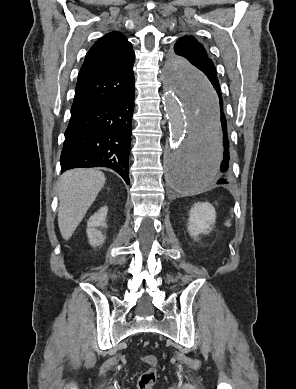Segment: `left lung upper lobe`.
Masks as SVG:
<instances>
[{
  "label": "left lung upper lobe",
  "instance_id": "5c2ea615",
  "mask_svg": "<svg viewBox=\"0 0 296 389\" xmlns=\"http://www.w3.org/2000/svg\"><path fill=\"white\" fill-rule=\"evenodd\" d=\"M172 72L179 83L194 78H209L216 72L205 47L192 36L179 38L172 54Z\"/></svg>",
  "mask_w": 296,
  "mask_h": 389
}]
</instances>
